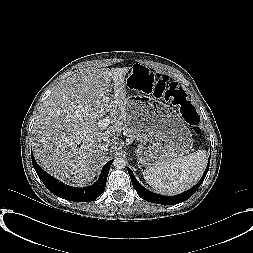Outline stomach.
Listing matches in <instances>:
<instances>
[{
  "label": "stomach",
  "instance_id": "1",
  "mask_svg": "<svg viewBox=\"0 0 253 253\" xmlns=\"http://www.w3.org/2000/svg\"><path fill=\"white\" fill-rule=\"evenodd\" d=\"M124 128L140 142L136 156L146 167L183 156L193 146L192 134L181 114L152 97L127 98Z\"/></svg>",
  "mask_w": 253,
  "mask_h": 253
}]
</instances>
